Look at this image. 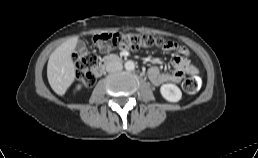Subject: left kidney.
<instances>
[{
  "label": "left kidney",
  "instance_id": "obj_1",
  "mask_svg": "<svg viewBox=\"0 0 258 158\" xmlns=\"http://www.w3.org/2000/svg\"><path fill=\"white\" fill-rule=\"evenodd\" d=\"M160 93L169 102H178L182 97L181 90L175 84L171 83L163 84L160 87Z\"/></svg>",
  "mask_w": 258,
  "mask_h": 158
}]
</instances>
